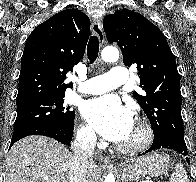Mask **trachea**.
I'll use <instances>...</instances> for the list:
<instances>
[{
    "label": "trachea",
    "mask_w": 196,
    "mask_h": 182,
    "mask_svg": "<svg viewBox=\"0 0 196 182\" xmlns=\"http://www.w3.org/2000/svg\"><path fill=\"white\" fill-rule=\"evenodd\" d=\"M99 53V40L97 36L93 35L87 45V56L91 63H94Z\"/></svg>",
    "instance_id": "1"
}]
</instances>
